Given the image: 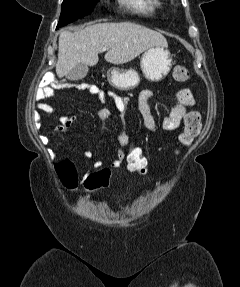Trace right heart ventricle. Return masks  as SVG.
I'll use <instances>...</instances> for the list:
<instances>
[{"instance_id":"right-heart-ventricle-1","label":"right heart ventricle","mask_w":240,"mask_h":287,"mask_svg":"<svg viewBox=\"0 0 240 287\" xmlns=\"http://www.w3.org/2000/svg\"><path fill=\"white\" fill-rule=\"evenodd\" d=\"M120 5L132 13L153 17L161 8L160 0H118Z\"/></svg>"}]
</instances>
